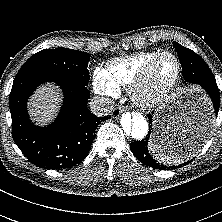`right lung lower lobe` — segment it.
Segmentation results:
<instances>
[{
    "mask_svg": "<svg viewBox=\"0 0 222 222\" xmlns=\"http://www.w3.org/2000/svg\"><path fill=\"white\" fill-rule=\"evenodd\" d=\"M56 82L63 89V106L57 119L46 127L34 125L26 103L40 84ZM86 86L44 73L16 75L9 97L13 140L24 156L45 169L61 170L80 163L87 156L98 125L111 116L97 117L87 102Z\"/></svg>",
    "mask_w": 222,
    "mask_h": 222,
    "instance_id": "obj_1",
    "label": "right lung lower lobe"
}]
</instances>
